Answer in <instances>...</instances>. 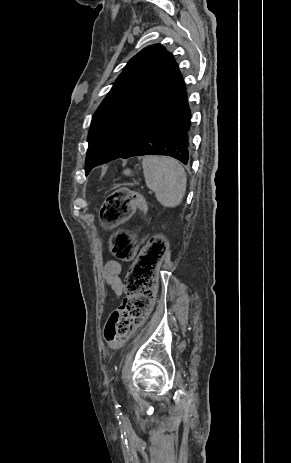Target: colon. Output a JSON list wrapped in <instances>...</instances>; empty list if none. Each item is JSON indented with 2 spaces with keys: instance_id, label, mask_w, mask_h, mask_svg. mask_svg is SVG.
<instances>
[{
  "instance_id": "colon-1",
  "label": "colon",
  "mask_w": 291,
  "mask_h": 463,
  "mask_svg": "<svg viewBox=\"0 0 291 463\" xmlns=\"http://www.w3.org/2000/svg\"><path fill=\"white\" fill-rule=\"evenodd\" d=\"M146 209L143 197L128 188L120 187L106 198L100 216L104 225L115 226L128 219L133 211ZM111 253L122 261H129L136 251V241L127 230H117L110 239ZM167 251L163 236L154 235L142 248L130 268L124 284L126 297L108 318L104 337L111 347L120 346L130 335L133 327L141 323L151 312L156 273Z\"/></svg>"
}]
</instances>
